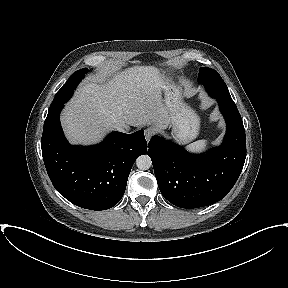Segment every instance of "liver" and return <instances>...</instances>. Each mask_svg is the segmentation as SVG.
I'll list each match as a JSON object with an SVG mask.
<instances>
[{"mask_svg": "<svg viewBox=\"0 0 288 288\" xmlns=\"http://www.w3.org/2000/svg\"><path fill=\"white\" fill-rule=\"evenodd\" d=\"M165 84L154 66H134L93 77L79 86L67 103L61 122L72 144L99 142L116 126L140 127L169 124L162 99Z\"/></svg>", "mask_w": 288, "mask_h": 288, "instance_id": "liver-1", "label": "liver"}]
</instances>
